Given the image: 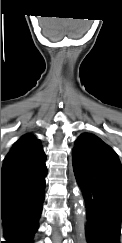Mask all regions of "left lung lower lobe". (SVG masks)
Instances as JSON below:
<instances>
[{"label": "left lung lower lobe", "instance_id": "0a47b994", "mask_svg": "<svg viewBox=\"0 0 122 243\" xmlns=\"http://www.w3.org/2000/svg\"><path fill=\"white\" fill-rule=\"evenodd\" d=\"M73 170L85 215L83 242L121 243L122 166L117 154L106 147L83 155Z\"/></svg>", "mask_w": 122, "mask_h": 243}]
</instances>
